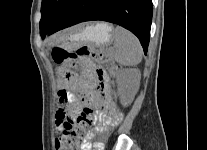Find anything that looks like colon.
<instances>
[{"label":"colon","instance_id":"5ec220e1","mask_svg":"<svg viewBox=\"0 0 207 150\" xmlns=\"http://www.w3.org/2000/svg\"><path fill=\"white\" fill-rule=\"evenodd\" d=\"M92 57L96 61L103 63L105 57L102 53L94 51L90 47L84 46L77 51H68L62 47H55L52 50V58L59 65V76L64 82V86L58 87V104L55 107L53 121L58 125L59 136L56 139L57 150H79L87 138V130L93 124L92 113L88 108H84L76 120L70 117V111L77 106V99H73V87H75L74 77H70V70L77 66V62L83 57Z\"/></svg>","mask_w":207,"mask_h":150}]
</instances>
